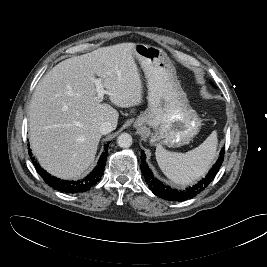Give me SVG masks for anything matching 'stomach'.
<instances>
[{"label": "stomach", "mask_w": 267, "mask_h": 267, "mask_svg": "<svg viewBox=\"0 0 267 267\" xmlns=\"http://www.w3.org/2000/svg\"><path fill=\"white\" fill-rule=\"evenodd\" d=\"M134 57L144 72L148 108L135 120L137 129L153 128L150 143L179 147L188 144L201 128V119L189 104L167 54L158 47L135 44Z\"/></svg>", "instance_id": "stomach-1"}]
</instances>
